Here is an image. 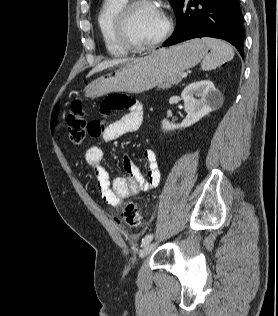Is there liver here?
Returning <instances> with one entry per match:
<instances>
[{
	"label": "liver",
	"mask_w": 278,
	"mask_h": 316,
	"mask_svg": "<svg viewBox=\"0 0 278 316\" xmlns=\"http://www.w3.org/2000/svg\"><path fill=\"white\" fill-rule=\"evenodd\" d=\"M135 59L133 58H123V59H114V60H109V61H103L101 63H99L96 67H94L89 74L87 75V77L92 76L93 74L103 71L107 68L113 67L115 65L121 64V63H126V62H130V61H134Z\"/></svg>",
	"instance_id": "6515ba94"
}]
</instances>
